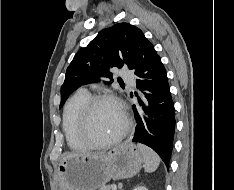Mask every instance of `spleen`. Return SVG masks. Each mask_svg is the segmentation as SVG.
<instances>
[{"instance_id":"spleen-1","label":"spleen","mask_w":234,"mask_h":190,"mask_svg":"<svg viewBox=\"0 0 234 190\" xmlns=\"http://www.w3.org/2000/svg\"><path fill=\"white\" fill-rule=\"evenodd\" d=\"M137 147L143 155L145 171L148 173L154 172L160 164L159 156L152 149L143 144L139 143Z\"/></svg>"}]
</instances>
